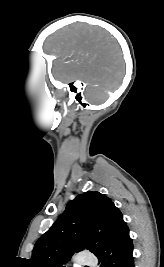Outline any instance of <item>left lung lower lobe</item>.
Segmentation results:
<instances>
[{"mask_svg": "<svg viewBox=\"0 0 164 267\" xmlns=\"http://www.w3.org/2000/svg\"><path fill=\"white\" fill-rule=\"evenodd\" d=\"M133 244L124 223L96 254L100 267H134Z\"/></svg>", "mask_w": 164, "mask_h": 267, "instance_id": "1", "label": "left lung lower lobe"}]
</instances>
